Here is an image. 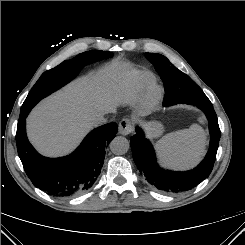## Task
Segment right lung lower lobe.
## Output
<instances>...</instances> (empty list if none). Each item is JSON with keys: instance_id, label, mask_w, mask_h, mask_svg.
I'll return each instance as SVG.
<instances>
[{"instance_id": "1", "label": "right lung lower lobe", "mask_w": 245, "mask_h": 245, "mask_svg": "<svg viewBox=\"0 0 245 245\" xmlns=\"http://www.w3.org/2000/svg\"><path fill=\"white\" fill-rule=\"evenodd\" d=\"M98 60L97 57L88 58L83 66ZM27 115L19 117L16 144L24 170L33 185L59 197L86 192L100 173L105 146L115 137L117 124L112 122L94 129L72 154L54 159L41 156L29 143L26 136Z\"/></svg>"}]
</instances>
